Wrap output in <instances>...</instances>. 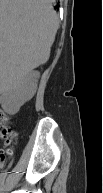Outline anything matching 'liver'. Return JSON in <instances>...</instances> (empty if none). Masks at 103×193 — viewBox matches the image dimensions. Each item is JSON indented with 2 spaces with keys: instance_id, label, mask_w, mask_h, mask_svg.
<instances>
[{
  "instance_id": "liver-1",
  "label": "liver",
  "mask_w": 103,
  "mask_h": 193,
  "mask_svg": "<svg viewBox=\"0 0 103 193\" xmlns=\"http://www.w3.org/2000/svg\"><path fill=\"white\" fill-rule=\"evenodd\" d=\"M53 0H1V75L6 80L47 62L57 31Z\"/></svg>"
}]
</instances>
